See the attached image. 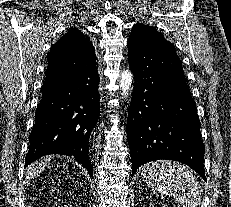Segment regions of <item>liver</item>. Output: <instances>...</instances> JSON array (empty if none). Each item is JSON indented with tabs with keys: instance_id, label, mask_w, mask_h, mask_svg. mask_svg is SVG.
Returning <instances> with one entry per match:
<instances>
[{
	"instance_id": "6515ba94",
	"label": "liver",
	"mask_w": 231,
	"mask_h": 207,
	"mask_svg": "<svg viewBox=\"0 0 231 207\" xmlns=\"http://www.w3.org/2000/svg\"><path fill=\"white\" fill-rule=\"evenodd\" d=\"M47 161L48 160L46 159L44 162L30 166V171H28V176L34 177L36 173L42 171L44 169Z\"/></svg>"
}]
</instances>
